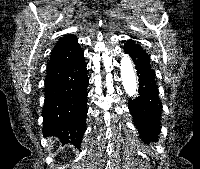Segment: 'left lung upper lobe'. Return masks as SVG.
Listing matches in <instances>:
<instances>
[{
	"mask_svg": "<svg viewBox=\"0 0 200 169\" xmlns=\"http://www.w3.org/2000/svg\"><path fill=\"white\" fill-rule=\"evenodd\" d=\"M129 42H130L133 46H135L136 48L142 49L140 46H138L137 44H135L134 41L129 40Z\"/></svg>",
	"mask_w": 200,
	"mask_h": 169,
	"instance_id": "left-lung-upper-lobe-1",
	"label": "left lung upper lobe"
}]
</instances>
